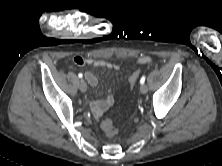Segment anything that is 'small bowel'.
<instances>
[{"label":"small bowel","mask_w":222,"mask_h":166,"mask_svg":"<svg viewBox=\"0 0 222 166\" xmlns=\"http://www.w3.org/2000/svg\"><path fill=\"white\" fill-rule=\"evenodd\" d=\"M151 57L149 56H140L137 59L138 64H148L151 62ZM73 62L78 66H85V65H91L96 67H107L111 70H118L119 66L110 62H106L104 60H95L91 58H84L81 56H76L73 58ZM86 81L89 83L90 86L95 87L98 84L97 77L89 71H86L84 73ZM114 94L110 93L107 98L103 100H94L90 99V107L92 110L93 115L96 118H99L103 115V113L108 110L113 104H114Z\"/></svg>","instance_id":"small-bowel-1"}]
</instances>
